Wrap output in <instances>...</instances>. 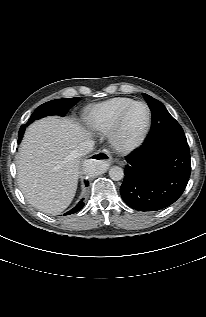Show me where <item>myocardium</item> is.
<instances>
[{
	"label": "myocardium",
	"mask_w": 206,
	"mask_h": 317,
	"mask_svg": "<svg viewBox=\"0 0 206 317\" xmlns=\"http://www.w3.org/2000/svg\"><path fill=\"white\" fill-rule=\"evenodd\" d=\"M136 105L145 106L147 110L146 122L135 137L131 139H126L123 136L125 119L128 113L130 112V110ZM150 124H151V110L148 104L143 101H134L130 103L128 106H126L117 117L116 122L110 131V142L113 145V147L119 152H130L134 150L135 148H137L144 141L148 133V130L150 128Z\"/></svg>",
	"instance_id": "obj_1"
}]
</instances>
